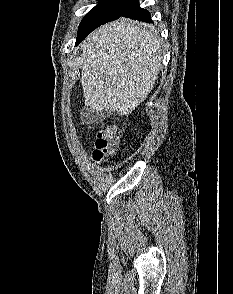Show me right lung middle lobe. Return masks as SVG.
Wrapping results in <instances>:
<instances>
[{
    "label": "right lung middle lobe",
    "instance_id": "1",
    "mask_svg": "<svg viewBox=\"0 0 233 294\" xmlns=\"http://www.w3.org/2000/svg\"><path fill=\"white\" fill-rule=\"evenodd\" d=\"M132 0H99V3L82 19L78 36L92 28L119 18Z\"/></svg>",
    "mask_w": 233,
    "mask_h": 294
}]
</instances>
